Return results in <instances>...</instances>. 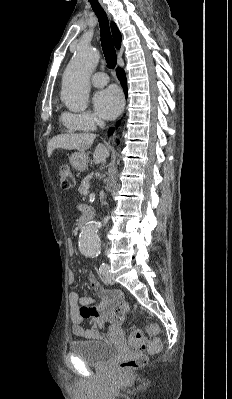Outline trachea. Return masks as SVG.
Returning <instances> with one entry per match:
<instances>
[{
	"instance_id": "3493384b",
	"label": "trachea",
	"mask_w": 232,
	"mask_h": 399,
	"mask_svg": "<svg viewBox=\"0 0 232 399\" xmlns=\"http://www.w3.org/2000/svg\"><path fill=\"white\" fill-rule=\"evenodd\" d=\"M93 11L95 12L99 25H100V36H101V46L106 59L107 66L113 69L117 63V55L113 44V39L110 32L109 21L101 7L98 0H89Z\"/></svg>"
}]
</instances>
